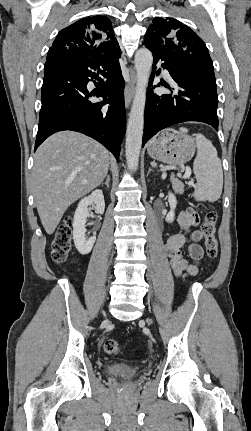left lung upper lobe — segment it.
<instances>
[{
    "instance_id": "obj_1",
    "label": "left lung upper lobe",
    "mask_w": 251,
    "mask_h": 431,
    "mask_svg": "<svg viewBox=\"0 0 251 431\" xmlns=\"http://www.w3.org/2000/svg\"><path fill=\"white\" fill-rule=\"evenodd\" d=\"M144 43L161 48L165 53L181 58L186 64L213 68L203 40L176 19L155 18L144 36Z\"/></svg>"
}]
</instances>
